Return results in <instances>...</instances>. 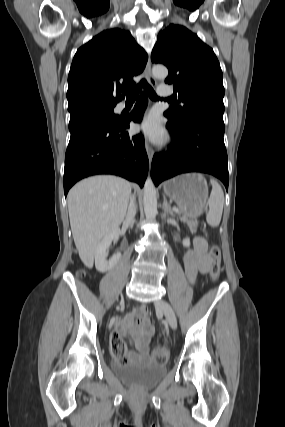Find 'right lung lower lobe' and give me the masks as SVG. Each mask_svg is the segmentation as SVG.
<instances>
[{"label":"right lung lower lobe","mask_w":285,"mask_h":427,"mask_svg":"<svg viewBox=\"0 0 285 427\" xmlns=\"http://www.w3.org/2000/svg\"><path fill=\"white\" fill-rule=\"evenodd\" d=\"M147 105L141 94L133 112L117 122L87 119L72 129L65 155L64 193L82 178L114 174L143 187L148 172V157L143 136L129 137V122H140Z\"/></svg>","instance_id":"98d812e1"}]
</instances>
